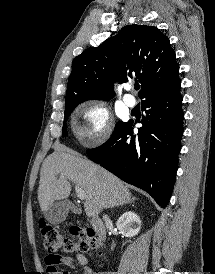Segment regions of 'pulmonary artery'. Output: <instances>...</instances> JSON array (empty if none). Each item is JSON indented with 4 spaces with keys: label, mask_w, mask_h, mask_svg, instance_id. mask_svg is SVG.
Instances as JSON below:
<instances>
[{
    "label": "pulmonary artery",
    "mask_w": 215,
    "mask_h": 274,
    "mask_svg": "<svg viewBox=\"0 0 215 274\" xmlns=\"http://www.w3.org/2000/svg\"><path fill=\"white\" fill-rule=\"evenodd\" d=\"M130 88H131L130 86H127L126 90L129 91ZM123 101L130 108H133L136 105V103H137L136 99L134 98V96L131 95V94H128V93L124 95Z\"/></svg>",
    "instance_id": "e3ab8cb5"
}]
</instances>
